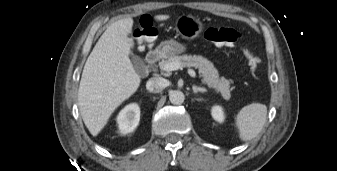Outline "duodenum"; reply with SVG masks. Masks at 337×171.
Returning <instances> with one entry per match:
<instances>
[{
	"label": "duodenum",
	"instance_id": "obj_1",
	"mask_svg": "<svg viewBox=\"0 0 337 171\" xmlns=\"http://www.w3.org/2000/svg\"><path fill=\"white\" fill-rule=\"evenodd\" d=\"M161 57L162 52L160 50L155 49L150 51L146 57L147 69L148 70L153 69Z\"/></svg>",
	"mask_w": 337,
	"mask_h": 171
}]
</instances>
